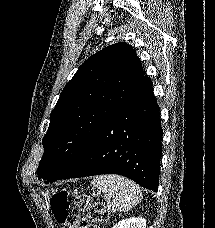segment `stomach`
Masks as SVG:
<instances>
[{
	"instance_id": "obj_1",
	"label": "stomach",
	"mask_w": 215,
	"mask_h": 228,
	"mask_svg": "<svg viewBox=\"0 0 215 228\" xmlns=\"http://www.w3.org/2000/svg\"><path fill=\"white\" fill-rule=\"evenodd\" d=\"M55 190H47L45 196L48 198V200H51L52 196H54Z\"/></svg>"
}]
</instances>
